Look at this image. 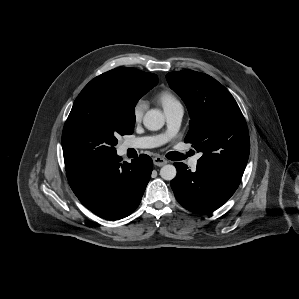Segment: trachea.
Listing matches in <instances>:
<instances>
[{
    "mask_svg": "<svg viewBox=\"0 0 299 299\" xmlns=\"http://www.w3.org/2000/svg\"><path fill=\"white\" fill-rule=\"evenodd\" d=\"M188 156H189V153L184 155V154H181V153L175 152V151L167 154V157L173 161L183 160V159L187 158Z\"/></svg>",
    "mask_w": 299,
    "mask_h": 299,
    "instance_id": "1",
    "label": "trachea"
}]
</instances>
